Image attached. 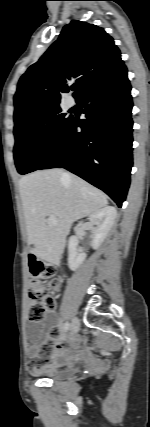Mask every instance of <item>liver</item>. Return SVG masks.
<instances>
[{"mask_svg": "<svg viewBox=\"0 0 150 427\" xmlns=\"http://www.w3.org/2000/svg\"><path fill=\"white\" fill-rule=\"evenodd\" d=\"M19 191L28 243L42 259L59 262L71 225L108 204L107 196L78 176L62 169L41 170L23 176ZM54 215L57 224H47Z\"/></svg>", "mask_w": 150, "mask_h": 427, "instance_id": "obj_1", "label": "liver"}]
</instances>
